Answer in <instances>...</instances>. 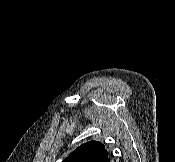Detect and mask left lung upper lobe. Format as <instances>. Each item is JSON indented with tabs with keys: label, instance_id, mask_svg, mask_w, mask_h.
Instances as JSON below:
<instances>
[{
	"label": "left lung upper lobe",
	"instance_id": "5c2ea615",
	"mask_svg": "<svg viewBox=\"0 0 175 162\" xmlns=\"http://www.w3.org/2000/svg\"><path fill=\"white\" fill-rule=\"evenodd\" d=\"M108 152L101 142L90 141L80 145L63 162H107Z\"/></svg>",
	"mask_w": 175,
	"mask_h": 162
}]
</instances>
